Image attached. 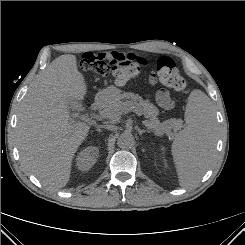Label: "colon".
I'll return each instance as SVG.
<instances>
[{
  "label": "colon",
  "instance_id": "obj_1",
  "mask_svg": "<svg viewBox=\"0 0 245 245\" xmlns=\"http://www.w3.org/2000/svg\"><path fill=\"white\" fill-rule=\"evenodd\" d=\"M81 67L94 74L106 77L112 75L119 84H124L138 74L142 62L131 54H123L118 59L108 60L101 54L85 53L81 57ZM155 74L164 85L177 91H184L187 83L179 73L175 63L168 57H160L154 66Z\"/></svg>",
  "mask_w": 245,
  "mask_h": 245
}]
</instances>
